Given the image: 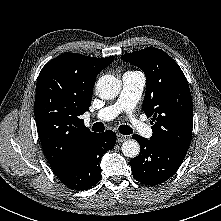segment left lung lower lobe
<instances>
[{
	"mask_svg": "<svg viewBox=\"0 0 221 221\" xmlns=\"http://www.w3.org/2000/svg\"><path fill=\"white\" fill-rule=\"evenodd\" d=\"M133 138L140 144L141 151L130 161L132 174L146 185L154 186L168 180L176 173L187 153L156 144L137 134Z\"/></svg>",
	"mask_w": 221,
	"mask_h": 221,
	"instance_id": "0a47b994",
	"label": "left lung lower lobe"
}]
</instances>
